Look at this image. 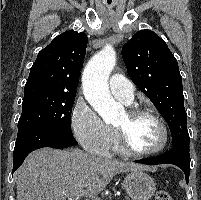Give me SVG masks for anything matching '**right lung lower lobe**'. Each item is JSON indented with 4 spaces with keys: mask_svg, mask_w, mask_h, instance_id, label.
Returning <instances> with one entry per match:
<instances>
[{
    "mask_svg": "<svg viewBox=\"0 0 201 200\" xmlns=\"http://www.w3.org/2000/svg\"><path fill=\"white\" fill-rule=\"evenodd\" d=\"M77 144L73 134L65 133L53 126L32 124L18 128L12 173L20 167L27 155L36 149L66 148Z\"/></svg>",
    "mask_w": 201,
    "mask_h": 200,
    "instance_id": "obj_1",
    "label": "right lung lower lobe"
}]
</instances>
